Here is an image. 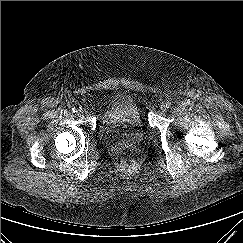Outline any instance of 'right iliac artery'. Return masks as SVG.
<instances>
[{"label":"right iliac artery","instance_id":"1","mask_svg":"<svg viewBox=\"0 0 243 243\" xmlns=\"http://www.w3.org/2000/svg\"><path fill=\"white\" fill-rule=\"evenodd\" d=\"M72 112L75 113L77 112V109L75 107L72 108Z\"/></svg>","mask_w":243,"mask_h":243}]
</instances>
